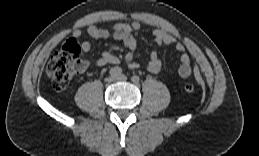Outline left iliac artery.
<instances>
[{"label": "left iliac artery", "instance_id": "left-iliac-artery-1", "mask_svg": "<svg viewBox=\"0 0 259 156\" xmlns=\"http://www.w3.org/2000/svg\"><path fill=\"white\" fill-rule=\"evenodd\" d=\"M131 80H132L134 83H138V82L140 81V78H139V76L134 75V76H132Z\"/></svg>", "mask_w": 259, "mask_h": 156}]
</instances>
